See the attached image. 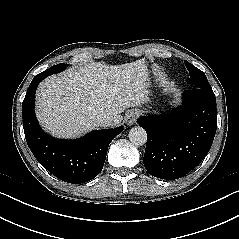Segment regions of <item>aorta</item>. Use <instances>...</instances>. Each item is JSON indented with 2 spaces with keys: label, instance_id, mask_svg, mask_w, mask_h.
<instances>
[{
  "label": "aorta",
  "instance_id": "762f6f07",
  "mask_svg": "<svg viewBox=\"0 0 239 239\" xmlns=\"http://www.w3.org/2000/svg\"><path fill=\"white\" fill-rule=\"evenodd\" d=\"M129 140L136 146L144 145L147 141V133L140 126H135L129 131Z\"/></svg>",
  "mask_w": 239,
  "mask_h": 239
}]
</instances>
